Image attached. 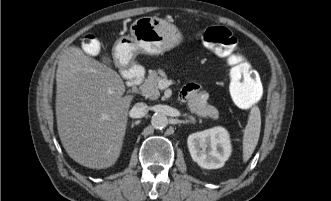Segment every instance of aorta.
I'll use <instances>...</instances> for the list:
<instances>
[{
    "mask_svg": "<svg viewBox=\"0 0 331 201\" xmlns=\"http://www.w3.org/2000/svg\"><path fill=\"white\" fill-rule=\"evenodd\" d=\"M151 123L156 129H163L168 125V118L163 113H155L151 118Z\"/></svg>",
    "mask_w": 331,
    "mask_h": 201,
    "instance_id": "1",
    "label": "aorta"
}]
</instances>
